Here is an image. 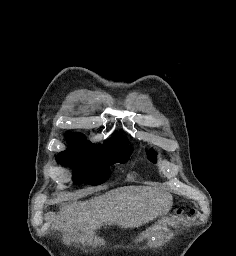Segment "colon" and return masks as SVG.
I'll return each instance as SVG.
<instances>
[{
  "mask_svg": "<svg viewBox=\"0 0 236 256\" xmlns=\"http://www.w3.org/2000/svg\"><path fill=\"white\" fill-rule=\"evenodd\" d=\"M195 214L194 208H182L178 211L180 216H193Z\"/></svg>",
  "mask_w": 236,
  "mask_h": 256,
  "instance_id": "5ec220e1",
  "label": "colon"
}]
</instances>
